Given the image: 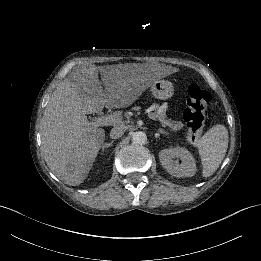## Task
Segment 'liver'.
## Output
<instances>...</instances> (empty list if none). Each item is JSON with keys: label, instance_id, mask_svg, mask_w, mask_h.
I'll return each instance as SVG.
<instances>
[{"label": "liver", "instance_id": "6515ba94", "mask_svg": "<svg viewBox=\"0 0 261 261\" xmlns=\"http://www.w3.org/2000/svg\"><path fill=\"white\" fill-rule=\"evenodd\" d=\"M166 74L159 65H82L72 72L52 93L40 121L41 152L49 169L65 184H81L105 140V130L86 114L127 107Z\"/></svg>", "mask_w": 261, "mask_h": 261}]
</instances>
